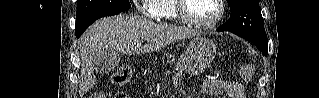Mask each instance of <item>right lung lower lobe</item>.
Instances as JSON below:
<instances>
[{
    "instance_id": "98d812e1",
    "label": "right lung lower lobe",
    "mask_w": 319,
    "mask_h": 98,
    "mask_svg": "<svg viewBox=\"0 0 319 98\" xmlns=\"http://www.w3.org/2000/svg\"><path fill=\"white\" fill-rule=\"evenodd\" d=\"M119 12H112V13H102V14H96V15H91L87 16L81 19L76 20V25H75V32H76V37L79 38L83 32L86 30V28L91 25L94 21L97 19L104 17V16H111L118 14Z\"/></svg>"
}]
</instances>
